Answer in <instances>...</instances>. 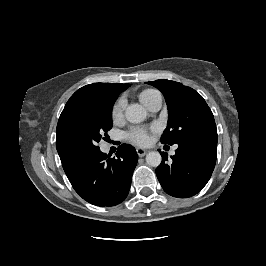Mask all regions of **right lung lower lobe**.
<instances>
[{"label":"right lung lower lobe","instance_id":"right-lung-lower-lobe-1","mask_svg":"<svg viewBox=\"0 0 266 266\" xmlns=\"http://www.w3.org/2000/svg\"><path fill=\"white\" fill-rule=\"evenodd\" d=\"M137 161L136 150L127 144L118 147L116 158L98 150L84 159L68 179L87 202L101 207L115 206L129 193Z\"/></svg>","mask_w":266,"mask_h":266}]
</instances>
